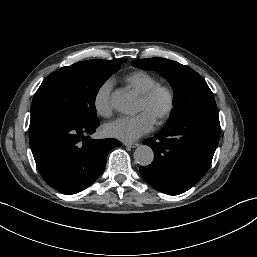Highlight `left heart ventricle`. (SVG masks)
<instances>
[{"instance_id":"left-heart-ventricle-1","label":"left heart ventricle","mask_w":257,"mask_h":257,"mask_svg":"<svg viewBox=\"0 0 257 257\" xmlns=\"http://www.w3.org/2000/svg\"><path fill=\"white\" fill-rule=\"evenodd\" d=\"M167 105L166 97L164 95H158L152 102L144 103L139 100L137 106V112H145L149 114L155 121L160 117L164 112Z\"/></svg>"}]
</instances>
